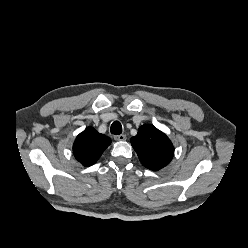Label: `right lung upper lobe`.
<instances>
[{
  "label": "right lung upper lobe",
  "mask_w": 248,
  "mask_h": 248,
  "mask_svg": "<svg viewBox=\"0 0 248 248\" xmlns=\"http://www.w3.org/2000/svg\"><path fill=\"white\" fill-rule=\"evenodd\" d=\"M110 143L108 136L88 127L76 137L73 153L83 166L88 167L96 163Z\"/></svg>",
  "instance_id": "cb5924a9"
}]
</instances>
